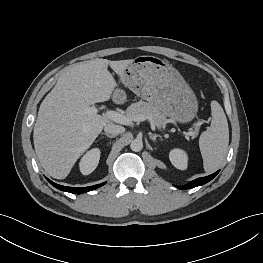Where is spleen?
<instances>
[{"label":"spleen","mask_w":263,"mask_h":263,"mask_svg":"<svg viewBox=\"0 0 263 263\" xmlns=\"http://www.w3.org/2000/svg\"><path fill=\"white\" fill-rule=\"evenodd\" d=\"M211 115V126L199 138V148L206 173H212L221 166L229 144L227 118L217 101L211 102Z\"/></svg>","instance_id":"obj_1"}]
</instances>
